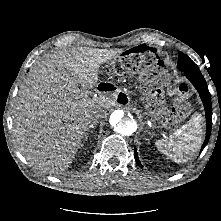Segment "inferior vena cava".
<instances>
[{
	"label": "inferior vena cava",
	"mask_w": 221,
	"mask_h": 221,
	"mask_svg": "<svg viewBox=\"0 0 221 221\" xmlns=\"http://www.w3.org/2000/svg\"><path fill=\"white\" fill-rule=\"evenodd\" d=\"M92 118L94 119V123H97L99 121V119L102 118V112L100 110H95L92 113Z\"/></svg>",
	"instance_id": "obj_1"
}]
</instances>
